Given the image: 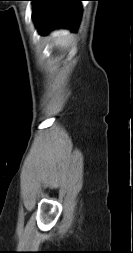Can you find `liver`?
Masks as SVG:
<instances>
[{
    "label": "liver",
    "mask_w": 133,
    "mask_h": 253,
    "mask_svg": "<svg viewBox=\"0 0 133 253\" xmlns=\"http://www.w3.org/2000/svg\"><path fill=\"white\" fill-rule=\"evenodd\" d=\"M71 34L68 30H56L52 33L54 45L57 47L66 46L71 39Z\"/></svg>",
    "instance_id": "1"
}]
</instances>
